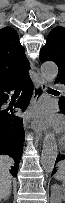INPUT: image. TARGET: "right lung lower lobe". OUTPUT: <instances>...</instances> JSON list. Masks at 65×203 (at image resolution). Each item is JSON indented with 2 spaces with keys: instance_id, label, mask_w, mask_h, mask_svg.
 Masks as SVG:
<instances>
[{
  "instance_id": "right-lung-lower-lobe-1",
  "label": "right lung lower lobe",
  "mask_w": 65,
  "mask_h": 203,
  "mask_svg": "<svg viewBox=\"0 0 65 203\" xmlns=\"http://www.w3.org/2000/svg\"><path fill=\"white\" fill-rule=\"evenodd\" d=\"M10 91H22L15 108L26 110L33 93V83L30 77L28 76L18 82L0 87V154L13 157L15 166L12 168L11 173L13 176H16L22 155L25 132L23 119L16 115L18 110L13 109V107L7 109L2 107L5 101L8 100Z\"/></svg>"
}]
</instances>
